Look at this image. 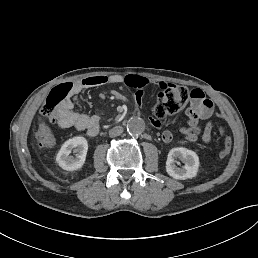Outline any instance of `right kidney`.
<instances>
[{
  "label": "right kidney",
  "instance_id": "obj_1",
  "mask_svg": "<svg viewBox=\"0 0 258 258\" xmlns=\"http://www.w3.org/2000/svg\"><path fill=\"white\" fill-rule=\"evenodd\" d=\"M87 150L88 143L84 137H73L62 145L56 156V162L67 171L80 169L85 162ZM72 151L76 153L75 157L70 155Z\"/></svg>",
  "mask_w": 258,
  "mask_h": 258
}]
</instances>
